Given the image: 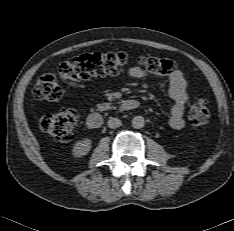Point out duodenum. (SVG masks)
Segmentation results:
<instances>
[{
    "label": "duodenum",
    "mask_w": 234,
    "mask_h": 231,
    "mask_svg": "<svg viewBox=\"0 0 234 231\" xmlns=\"http://www.w3.org/2000/svg\"><path fill=\"white\" fill-rule=\"evenodd\" d=\"M139 103L134 99H128L122 102L121 111H134L138 108ZM104 120L101 114L91 113L86 118V124L91 129H99L103 126Z\"/></svg>",
    "instance_id": "obj_1"
}]
</instances>
